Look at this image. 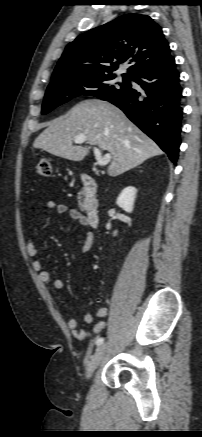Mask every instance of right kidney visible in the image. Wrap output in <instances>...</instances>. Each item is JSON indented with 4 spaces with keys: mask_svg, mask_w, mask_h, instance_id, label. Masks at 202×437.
Instances as JSON below:
<instances>
[{
    "mask_svg": "<svg viewBox=\"0 0 202 437\" xmlns=\"http://www.w3.org/2000/svg\"><path fill=\"white\" fill-rule=\"evenodd\" d=\"M136 188L132 186H128L122 190L120 195L117 198V205L121 207L124 211L131 213L133 211Z\"/></svg>",
    "mask_w": 202,
    "mask_h": 437,
    "instance_id": "ca27d5eb",
    "label": "right kidney"
}]
</instances>
